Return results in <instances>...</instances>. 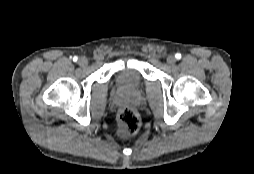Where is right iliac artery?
Returning a JSON list of instances; mask_svg holds the SVG:
<instances>
[{
	"instance_id": "82829eb1",
	"label": "right iliac artery",
	"mask_w": 254,
	"mask_h": 174,
	"mask_svg": "<svg viewBox=\"0 0 254 174\" xmlns=\"http://www.w3.org/2000/svg\"><path fill=\"white\" fill-rule=\"evenodd\" d=\"M78 60V57L74 56L73 61L76 62Z\"/></svg>"
}]
</instances>
